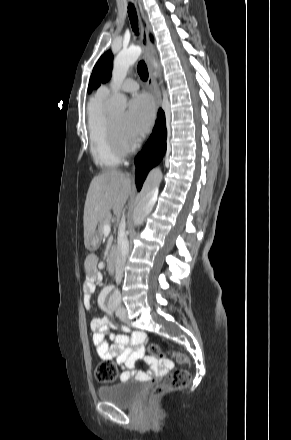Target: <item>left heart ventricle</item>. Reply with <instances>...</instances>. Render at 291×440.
I'll return each instance as SVG.
<instances>
[{
	"label": "left heart ventricle",
	"mask_w": 291,
	"mask_h": 440,
	"mask_svg": "<svg viewBox=\"0 0 291 440\" xmlns=\"http://www.w3.org/2000/svg\"><path fill=\"white\" fill-rule=\"evenodd\" d=\"M124 118H125V115L123 113L110 116V119H111L114 127L116 128L119 136L124 140L130 141L127 138L126 133H125Z\"/></svg>",
	"instance_id": "left-heart-ventricle-1"
}]
</instances>
